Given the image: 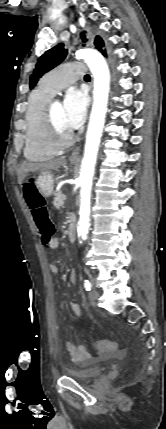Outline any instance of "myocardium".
<instances>
[{
    "instance_id": "myocardium-1",
    "label": "myocardium",
    "mask_w": 166,
    "mask_h": 429,
    "mask_svg": "<svg viewBox=\"0 0 166 429\" xmlns=\"http://www.w3.org/2000/svg\"><path fill=\"white\" fill-rule=\"evenodd\" d=\"M53 103L50 101L45 109L44 125L48 144L55 150H62L69 147L74 140V133L70 132L66 136H61L55 126L52 117Z\"/></svg>"
}]
</instances>
